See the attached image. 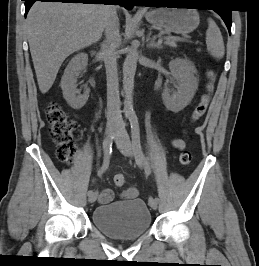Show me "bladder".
Here are the masks:
<instances>
[{
    "mask_svg": "<svg viewBox=\"0 0 259 266\" xmlns=\"http://www.w3.org/2000/svg\"><path fill=\"white\" fill-rule=\"evenodd\" d=\"M93 225L106 236L118 240H134L147 233L152 217L140 198L99 205L91 214Z\"/></svg>",
    "mask_w": 259,
    "mask_h": 266,
    "instance_id": "obj_1",
    "label": "bladder"
}]
</instances>
